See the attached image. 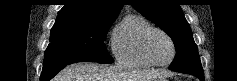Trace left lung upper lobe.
Instances as JSON below:
<instances>
[{"mask_svg": "<svg viewBox=\"0 0 237 81\" xmlns=\"http://www.w3.org/2000/svg\"><path fill=\"white\" fill-rule=\"evenodd\" d=\"M131 3L172 38L177 53L169 66L170 70L204 74L190 26L181 7L174 0H131Z\"/></svg>", "mask_w": 237, "mask_h": 81, "instance_id": "1", "label": "left lung upper lobe"}]
</instances>
